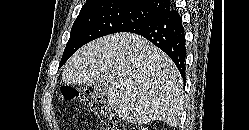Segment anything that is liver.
I'll use <instances>...</instances> for the list:
<instances>
[{"label":"liver","instance_id":"liver-1","mask_svg":"<svg viewBox=\"0 0 249 130\" xmlns=\"http://www.w3.org/2000/svg\"><path fill=\"white\" fill-rule=\"evenodd\" d=\"M62 80L69 85H103L108 103L123 120L179 125L183 80L174 62L145 38L117 33L92 41L66 62Z\"/></svg>","mask_w":249,"mask_h":130}]
</instances>
